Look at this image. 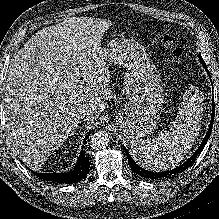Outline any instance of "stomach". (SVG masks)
<instances>
[{"label":"stomach","instance_id":"1","mask_svg":"<svg viewBox=\"0 0 219 219\" xmlns=\"http://www.w3.org/2000/svg\"><path fill=\"white\" fill-rule=\"evenodd\" d=\"M105 60L124 69L123 88L128 102L116 117L120 133L128 140L152 132L159 119L164 85L144 47L134 39L110 40L103 49Z\"/></svg>","mask_w":219,"mask_h":219}]
</instances>
